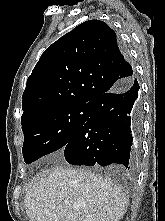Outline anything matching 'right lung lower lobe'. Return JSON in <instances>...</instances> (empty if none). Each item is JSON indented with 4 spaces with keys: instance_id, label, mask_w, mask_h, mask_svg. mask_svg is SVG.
Masks as SVG:
<instances>
[{
    "instance_id": "right-lung-lower-lobe-1",
    "label": "right lung lower lobe",
    "mask_w": 165,
    "mask_h": 221,
    "mask_svg": "<svg viewBox=\"0 0 165 221\" xmlns=\"http://www.w3.org/2000/svg\"><path fill=\"white\" fill-rule=\"evenodd\" d=\"M135 78L95 98L90 116L64 147L73 165H122L133 171L140 150L142 109Z\"/></svg>"
}]
</instances>
